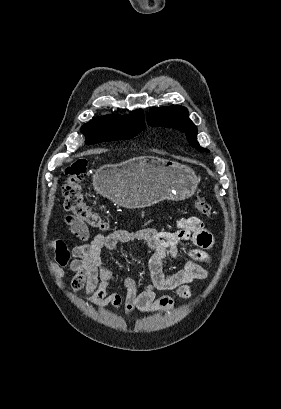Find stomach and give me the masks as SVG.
Returning a JSON list of instances; mask_svg holds the SVG:
<instances>
[{
  "instance_id": "obj_1",
  "label": "stomach",
  "mask_w": 281,
  "mask_h": 409,
  "mask_svg": "<svg viewBox=\"0 0 281 409\" xmlns=\"http://www.w3.org/2000/svg\"><path fill=\"white\" fill-rule=\"evenodd\" d=\"M198 182L193 168L159 156L104 164L93 174L95 190L125 209H145L159 200H184L196 192Z\"/></svg>"
}]
</instances>
